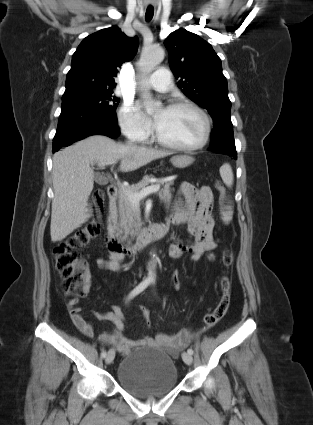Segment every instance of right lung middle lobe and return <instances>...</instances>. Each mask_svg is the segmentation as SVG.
Returning <instances> with one entry per match:
<instances>
[{"instance_id": "obj_1", "label": "right lung middle lobe", "mask_w": 313, "mask_h": 425, "mask_svg": "<svg viewBox=\"0 0 313 425\" xmlns=\"http://www.w3.org/2000/svg\"><path fill=\"white\" fill-rule=\"evenodd\" d=\"M119 99L113 95V89H89L64 93L62 105L75 104L116 115Z\"/></svg>"}]
</instances>
